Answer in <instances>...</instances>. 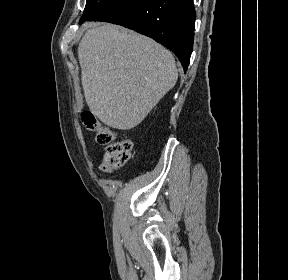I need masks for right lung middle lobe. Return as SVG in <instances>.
<instances>
[{
	"instance_id": "obj_1",
	"label": "right lung middle lobe",
	"mask_w": 288,
	"mask_h": 280,
	"mask_svg": "<svg viewBox=\"0 0 288 280\" xmlns=\"http://www.w3.org/2000/svg\"><path fill=\"white\" fill-rule=\"evenodd\" d=\"M113 0H87L86 6L84 9V13L81 17L80 22L91 17L98 9L103 7L104 5L112 2Z\"/></svg>"
}]
</instances>
